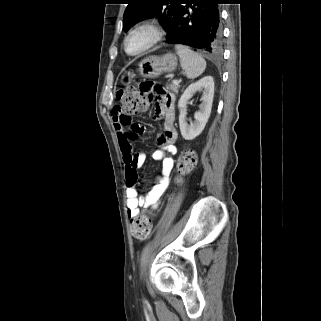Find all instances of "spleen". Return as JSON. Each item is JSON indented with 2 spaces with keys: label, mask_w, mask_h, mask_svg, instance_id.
<instances>
[{
  "label": "spleen",
  "mask_w": 321,
  "mask_h": 321,
  "mask_svg": "<svg viewBox=\"0 0 321 321\" xmlns=\"http://www.w3.org/2000/svg\"><path fill=\"white\" fill-rule=\"evenodd\" d=\"M176 52L180 57L181 67L188 79L199 77L206 68L205 59L188 46L175 45Z\"/></svg>",
  "instance_id": "3e777b00"
}]
</instances>
